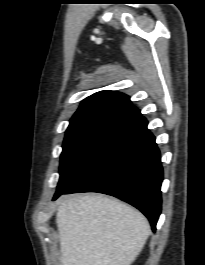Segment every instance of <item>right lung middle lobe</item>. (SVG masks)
<instances>
[{
    "label": "right lung middle lobe",
    "instance_id": "right-lung-middle-lobe-1",
    "mask_svg": "<svg viewBox=\"0 0 205 265\" xmlns=\"http://www.w3.org/2000/svg\"><path fill=\"white\" fill-rule=\"evenodd\" d=\"M125 129L96 125L66 133L56 193L67 188Z\"/></svg>",
    "mask_w": 205,
    "mask_h": 265
}]
</instances>
